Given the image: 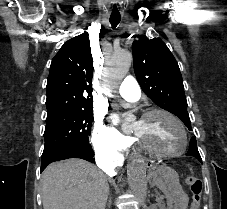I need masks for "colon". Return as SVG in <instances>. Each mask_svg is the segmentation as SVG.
I'll list each match as a JSON object with an SVG mask.
<instances>
[{"label": "colon", "mask_w": 227, "mask_h": 209, "mask_svg": "<svg viewBox=\"0 0 227 209\" xmlns=\"http://www.w3.org/2000/svg\"><path fill=\"white\" fill-rule=\"evenodd\" d=\"M186 184L192 195L190 209H201V201H202V182H201V180L197 177L190 176L187 178Z\"/></svg>", "instance_id": "5ec220e1"}]
</instances>
